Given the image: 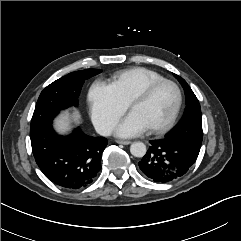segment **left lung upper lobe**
Instances as JSON below:
<instances>
[{
    "instance_id": "1",
    "label": "left lung upper lobe",
    "mask_w": 241,
    "mask_h": 241,
    "mask_svg": "<svg viewBox=\"0 0 241 241\" xmlns=\"http://www.w3.org/2000/svg\"><path fill=\"white\" fill-rule=\"evenodd\" d=\"M184 88L186 109L181 122L165 138L174 139L198 155L202 143V116L199 101L186 81L174 74Z\"/></svg>"
}]
</instances>
